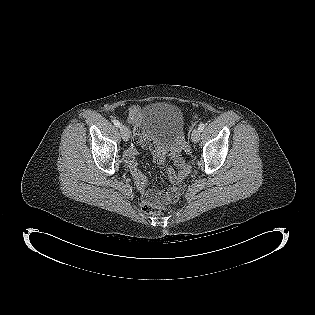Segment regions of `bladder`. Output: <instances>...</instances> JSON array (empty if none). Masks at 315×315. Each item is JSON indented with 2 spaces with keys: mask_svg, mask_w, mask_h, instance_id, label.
Here are the masks:
<instances>
[{
  "mask_svg": "<svg viewBox=\"0 0 315 315\" xmlns=\"http://www.w3.org/2000/svg\"><path fill=\"white\" fill-rule=\"evenodd\" d=\"M140 129L150 140L164 145H174L183 137L184 116L176 106L152 104L141 113Z\"/></svg>",
  "mask_w": 315,
  "mask_h": 315,
  "instance_id": "1",
  "label": "bladder"
}]
</instances>
